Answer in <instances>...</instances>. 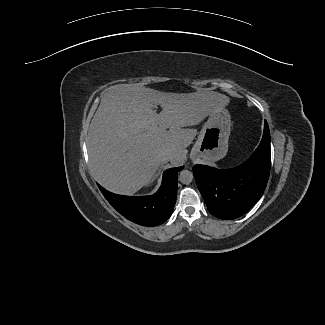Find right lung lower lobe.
Returning a JSON list of instances; mask_svg holds the SVG:
<instances>
[{"label": "right lung lower lobe", "mask_w": 325, "mask_h": 325, "mask_svg": "<svg viewBox=\"0 0 325 325\" xmlns=\"http://www.w3.org/2000/svg\"><path fill=\"white\" fill-rule=\"evenodd\" d=\"M184 166L167 169L161 187L151 196H123L98 185L107 201L128 220L142 226H157L172 214L177 196V175Z\"/></svg>", "instance_id": "right-lung-lower-lobe-1"}]
</instances>
